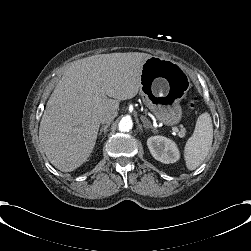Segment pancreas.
<instances>
[{"mask_svg": "<svg viewBox=\"0 0 251 251\" xmlns=\"http://www.w3.org/2000/svg\"><path fill=\"white\" fill-rule=\"evenodd\" d=\"M178 127H179L178 135L183 137L185 135V129L183 128L182 124H179Z\"/></svg>", "mask_w": 251, "mask_h": 251, "instance_id": "pancreas-1", "label": "pancreas"}]
</instances>
